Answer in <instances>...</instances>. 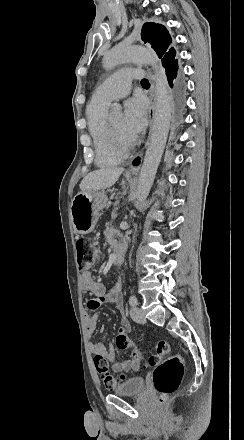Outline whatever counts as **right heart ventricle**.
Returning a JSON list of instances; mask_svg holds the SVG:
<instances>
[{
    "mask_svg": "<svg viewBox=\"0 0 244 440\" xmlns=\"http://www.w3.org/2000/svg\"><path fill=\"white\" fill-rule=\"evenodd\" d=\"M109 103L93 102L91 100L86 108L88 129L93 139L96 155L95 162L100 168H111L119 165L125 158L121 147H111L108 141L110 132L105 126V117Z\"/></svg>",
    "mask_w": 244,
    "mask_h": 440,
    "instance_id": "right-heart-ventricle-1",
    "label": "right heart ventricle"
}]
</instances>
